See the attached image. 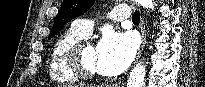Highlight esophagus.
Here are the masks:
<instances>
[{"instance_id":"esophagus-1","label":"esophagus","mask_w":205,"mask_h":87,"mask_svg":"<svg viewBox=\"0 0 205 87\" xmlns=\"http://www.w3.org/2000/svg\"><path fill=\"white\" fill-rule=\"evenodd\" d=\"M140 33H141V36H142V44L139 48L136 60H138L140 58V56H141V54L144 50V47L146 45V42H147V33H146L145 22H144L143 18L141 19V22H140Z\"/></svg>"}]
</instances>
